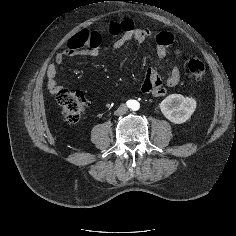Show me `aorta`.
Here are the masks:
<instances>
[{
    "label": "aorta",
    "mask_w": 236,
    "mask_h": 236,
    "mask_svg": "<svg viewBox=\"0 0 236 236\" xmlns=\"http://www.w3.org/2000/svg\"><path fill=\"white\" fill-rule=\"evenodd\" d=\"M132 108L137 110L139 108V103L137 101H134Z\"/></svg>",
    "instance_id": "1"
}]
</instances>
